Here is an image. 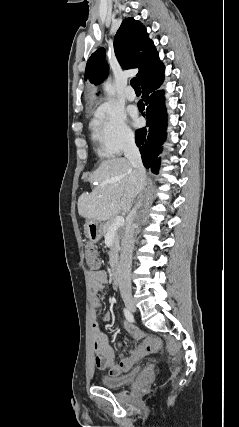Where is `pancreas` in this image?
<instances>
[{"label":"pancreas","mask_w":239,"mask_h":427,"mask_svg":"<svg viewBox=\"0 0 239 427\" xmlns=\"http://www.w3.org/2000/svg\"><path fill=\"white\" fill-rule=\"evenodd\" d=\"M114 221H115V219H111L104 224V226H103V234L104 235H106L108 233L110 226L114 223ZM123 231H124V229L122 227H120L115 232L113 244H112L111 249L109 251V257H110L109 264L111 266H113L115 264V262L117 261L118 253L120 250V238L123 234Z\"/></svg>","instance_id":"cf45deb5"}]
</instances>
